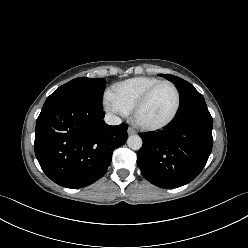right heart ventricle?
<instances>
[{
  "label": "right heart ventricle",
  "instance_id": "e07e8e85",
  "mask_svg": "<svg viewBox=\"0 0 248 248\" xmlns=\"http://www.w3.org/2000/svg\"><path fill=\"white\" fill-rule=\"evenodd\" d=\"M159 81L149 76L127 79L112 86L111 96L127 111H131L146 90Z\"/></svg>",
  "mask_w": 248,
  "mask_h": 248
}]
</instances>
